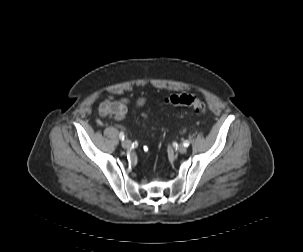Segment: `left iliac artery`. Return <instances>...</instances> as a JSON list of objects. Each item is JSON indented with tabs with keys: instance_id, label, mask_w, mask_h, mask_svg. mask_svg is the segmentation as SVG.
<instances>
[{
	"instance_id": "1",
	"label": "left iliac artery",
	"mask_w": 303,
	"mask_h": 252,
	"mask_svg": "<svg viewBox=\"0 0 303 252\" xmlns=\"http://www.w3.org/2000/svg\"><path fill=\"white\" fill-rule=\"evenodd\" d=\"M183 145H184L185 147H188V146L190 145V142H189L188 140H186V141L183 142Z\"/></svg>"
}]
</instances>
